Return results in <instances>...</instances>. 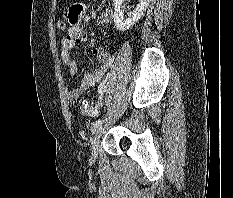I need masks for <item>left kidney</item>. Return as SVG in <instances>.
I'll list each match as a JSON object with an SVG mask.
<instances>
[{"label":"left kidney","mask_w":233,"mask_h":198,"mask_svg":"<svg viewBox=\"0 0 233 198\" xmlns=\"http://www.w3.org/2000/svg\"><path fill=\"white\" fill-rule=\"evenodd\" d=\"M124 1L125 0H113L114 24L119 31H126L138 22L151 2V0H139L136 8L131 13H128V17L126 18L123 8Z\"/></svg>","instance_id":"1"}]
</instances>
